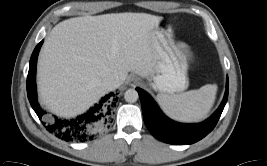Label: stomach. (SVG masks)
Returning <instances> with one entry per match:
<instances>
[{
  "label": "stomach",
  "mask_w": 267,
  "mask_h": 166,
  "mask_svg": "<svg viewBox=\"0 0 267 166\" xmlns=\"http://www.w3.org/2000/svg\"><path fill=\"white\" fill-rule=\"evenodd\" d=\"M156 37L155 67L148 79L162 93L182 92L188 87L186 55L175 44L171 29L163 23L156 26Z\"/></svg>",
  "instance_id": "1"
}]
</instances>
